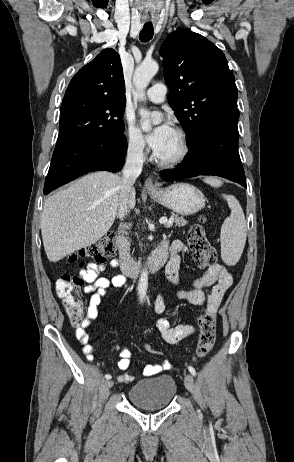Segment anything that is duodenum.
<instances>
[{"label":"duodenum","instance_id":"1","mask_svg":"<svg viewBox=\"0 0 294 462\" xmlns=\"http://www.w3.org/2000/svg\"><path fill=\"white\" fill-rule=\"evenodd\" d=\"M119 251V267L124 275L134 277L143 269L153 272L159 270L166 262L168 249L165 244L156 248L145 262H136L131 259L127 245V229L120 228L116 238Z\"/></svg>","mask_w":294,"mask_h":462}]
</instances>
